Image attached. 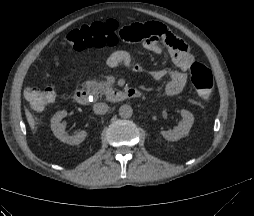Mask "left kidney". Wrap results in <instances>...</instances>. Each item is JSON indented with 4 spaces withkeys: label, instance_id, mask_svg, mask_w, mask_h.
Instances as JSON below:
<instances>
[{
    "label": "left kidney",
    "instance_id": "obj_1",
    "mask_svg": "<svg viewBox=\"0 0 254 216\" xmlns=\"http://www.w3.org/2000/svg\"><path fill=\"white\" fill-rule=\"evenodd\" d=\"M182 120L173 130L161 131L162 136L168 141H177L189 134V131L194 123V116L191 112L182 109L180 111Z\"/></svg>",
    "mask_w": 254,
    "mask_h": 216
}]
</instances>
